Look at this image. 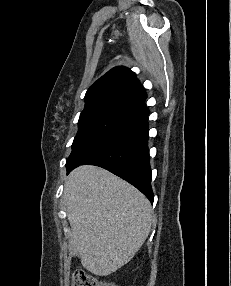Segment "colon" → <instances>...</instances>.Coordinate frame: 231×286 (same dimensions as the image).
<instances>
[{
	"label": "colon",
	"instance_id": "colon-1",
	"mask_svg": "<svg viewBox=\"0 0 231 286\" xmlns=\"http://www.w3.org/2000/svg\"><path fill=\"white\" fill-rule=\"evenodd\" d=\"M71 286H117L110 282L100 281L82 270L75 271L71 276Z\"/></svg>",
	"mask_w": 231,
	"mask_h": 286
}]
</instances>
